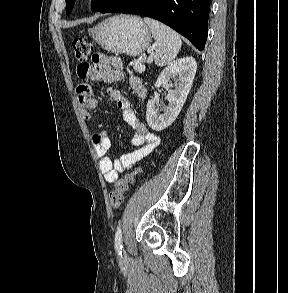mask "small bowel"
<instances>
[{"mask_svg": "<svg viewBox=\"0 0 288 293\" xmlns=\"http://www.w3.org/2000/svg\"><path fill=\"white\" fill-rule=\"evenodd\" d=\"M123 71L124 64L119 58H111L101 53L93 55L91 64L80 63L77 66V75L80 79H90L107 84L124 80ZM127 81L138 99L143 100L146 98L147 89L140 78L130 76ZM77 93L83 117L86 120H91L92 112L97 107L98 101L91 95L90 85L86 82L81 83L77 87ZM109 94L122 110L124 121L134 130L131 142L136 147L135 150L113 161L107 155L111 147V140L108 134L103 130L92 134V143L100 158L99 167L104 179L107 183H114L118 179L119 173L128 170L141 159L147 157L157 147L160 139L156 134L148 130L139 119L137 112L132 108L129 100L118 90L109 89Z\"/></svg>", "mask_w": 288, "mask_h": 293, "instance_id": "obj_1", "label": "small bowel"}]
</instances>
